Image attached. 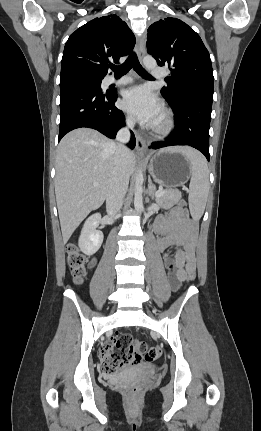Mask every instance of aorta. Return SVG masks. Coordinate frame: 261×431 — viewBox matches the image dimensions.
I'll return each mask as SVG.
<instances>
[{"instance_id": "1", "label": "aorta", "mask_w": 261, "mask_h": 431, "mask_svg": "<svg viewBox=\"0 0 261 431\" xmlns=\"http://www.w3.org/2000/svg\"><path fill=\"white\" fill-rule=\"evenodd\" d=\"M143 64L148 70H152L156 67V60L153 57L147 56L143 59ZM143 173L141 170H138L135 176V198H134V207L137 212L141 213L143 211V201H142V193H143Z\"/></svg>"}]
</instances>
